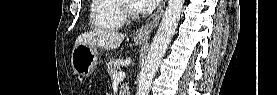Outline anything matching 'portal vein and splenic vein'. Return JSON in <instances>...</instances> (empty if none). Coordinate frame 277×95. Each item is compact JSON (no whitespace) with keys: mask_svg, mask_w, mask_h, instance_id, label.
I'll use <instances>...</instances> for the list:
<instances>
[{"mask_svg":"<svg viewBox=\"0 0 277 95\" xmlns=\"http://www.w3.org/2000/svg\"><path fill=\"white\" fill-rule=\"evenodd\" d=\"M126 74L123 71H119L113 74L114 81H121L125 78Z\"/></svg>","mask_w":277,"mask_h":95,"instance_id":"1","label":"portal vein and splenic vein"}]
</instances>
